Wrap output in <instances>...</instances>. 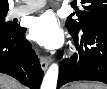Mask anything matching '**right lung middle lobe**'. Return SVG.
Returning <instances> with one entry per match:
<instances>
[{
	"mask_svg": "<svg viewBox=\"0 0 107 89\" xmlns=\"http://www.w3.org/2000/svg\"><path fill=\"white\" fill-rule=\"evenodd\" d=\"M6 14H7V12L0 13V29L5 32H12V31L18 29L17 25L13 24L12 22L5 21Z\"/></svg>",
	"mask_w": 107,
	"mask_h": 89,
	"instance_id": "dd1d6c3e",
	"label": "right lung middle lobe"
}]
</instances>
